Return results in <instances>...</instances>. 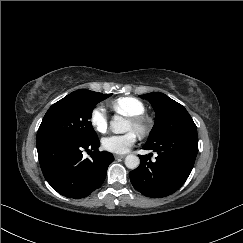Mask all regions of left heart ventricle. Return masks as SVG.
Returning <instances> with one entry per match:
<instances>
[{
  "mask_svg": "<svg viewBox=\"0 0 243 243\" xmlns=\"http://www.w3.org/2000/svg\"><path fill=\"white\" fill-rule=\"evenodd\" d=\"M126 129H127V130H133V131H136L135 126H134L133 123L130 122L129 120L127 121Z\"/></svg>",
  "mask_w": 243,
  "mask_h": 243,
  "instance_id": "1",
  "label": "left heart ventricle"
}]
</instances>
